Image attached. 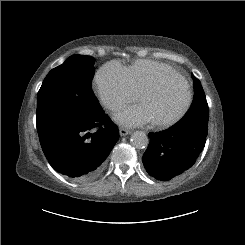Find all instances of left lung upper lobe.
I'll return each mask as SVG.
<instances>
[{"label": "left lung upper lobe", "instance_id": "obj_1", "mask_svg": "<svg viewBox=\"0 0 245 245\" xmlns=\"http://www.w3.org/2000/svg\"><path fill=\"white\" fill-rule=\"evenodd\" d=\"M192 77L195 91L194 100L185 117L172 126V128L193 129L207 134L209 118L208 104L200 81L193 75Z\"/></svg>", "mask_w": 245, "mask_h": 245}]
</instances>
